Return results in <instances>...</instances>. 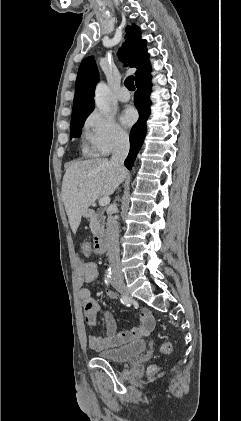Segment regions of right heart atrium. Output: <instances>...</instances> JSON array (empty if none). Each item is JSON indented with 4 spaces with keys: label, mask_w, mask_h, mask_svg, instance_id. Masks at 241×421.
<instances>
[{
    "label": "right heart atrium",
    "mask_w": 241,
    "mask_h": 421,
    "mask_svg": "<svg viewBox=\"0 0 241 421\" xmlns=\"http://www.w3.org/2000/svg\"><path fill=\"white\" fill-rule=\"evenodd\" d=\"M85 138L94 156H107L128 143V133L108 113L93 110L84 123Z\"/></svg>",
    "instance_id": "d8ad5b80"
}]
</instances>
